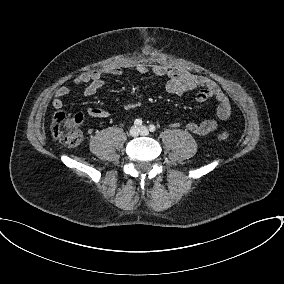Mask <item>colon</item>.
<instances>
[{
    "instance_id": "obj_1",
    "label": "colon",
    "mask_w": 284,
    "mask_h": 284,
    "mask_svg": "<svg viewBox=\"0 0 284 284\" xmlns=\"http://www.w3.org/2000/svg\"><path fill=\"white\" fill-rule=\"evenodd\" d=\"M82 121L80 115L71 116L65 112H57L54 114L51 121V132L55 139L69 146H76L83 140V133L79 129ZM230 134L227 131L219 133L218 137L221 140L228 139Z\"/></svg>"
}]
</instances>
